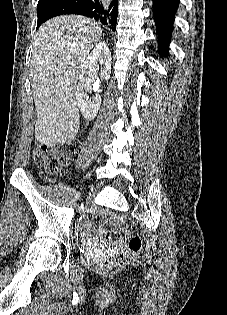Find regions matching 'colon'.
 Wrapping results in <instances>:
<instances>
[{
  "label": "colon",
  "instance_id": "obj_1",
  "mask_svg": "<svg viewBox=\"0 0 227 315\" xmlns=\"http://www.w3.org/2000/svg\"><path fill=\"white\" fill-rule=\"evenodd\" d=\"M79 149L80 142L77 139H72L56 146L40 144L35 148L34 162L44 172L55 173L72 160L78 154ZM112 221L118 229L125 223V220L118 215H114ZM141 249V238L128 232V249L102 259L98 268L102 271H107L114 267L121 266L127 261L137 257Z\"/></svg>",
  "mask_w": 227,
  "mask_h": 315
}]
</instances>
